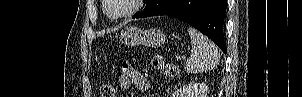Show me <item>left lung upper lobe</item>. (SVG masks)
Segmentation results:
<instances>
[{
  "label": "left lung upper lobe",
  "instance_id": "obj_1",
  "mask_svg": "<svg viewBox=\"0 0 302 97\" xmlns=\"http://www.w3.org/2000/svg\"><path fill=\"white\" fill-rule=\"evenodd\" d=\"M146 2H147V4L146 5H148V3L151 1V0H145Z\"/></svg>",
  "mask_w": 302,
  "mask_h": 97
}]
</instances>
